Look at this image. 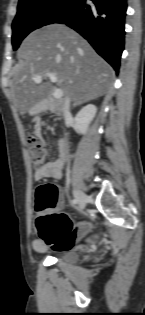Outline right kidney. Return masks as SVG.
<instances>
[{"label": "right kidney", "instance_id": "obj_1", "mask_svg": "<svg viewBox=\"0 0 145 315\" xmlns=\"http://www.w3.org/2000/svg\"><path fill=\"white\" fill-rule=\"evenodd\" d=\"M96 112L97 107L93 104H88L77 113L74 120L76 127L81 134H86L89 124L95 117Z\"/></svg>", "mask_w": 145, "mask_h": 315}]
</instances>
